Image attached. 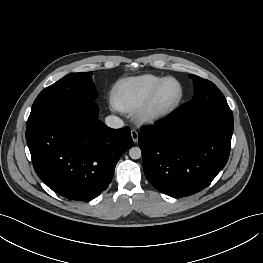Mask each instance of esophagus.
<instances>
[{
    "label": "esophagus",
    "mask_w": 263,
    "mask_h": 263,
    "mask_svg": "<svg viewBox=\"0 0 263 263\" xmlns=\"http://www.w3.org/2000/svg\"><path fill=\"white\" fill-rule=\"evenodd\" d=\"M131 137L134 143L138 142V131L136 129L131 130Z\"/></svg>",
    "instance_id": "1"
}]
</instances>
